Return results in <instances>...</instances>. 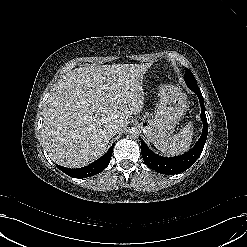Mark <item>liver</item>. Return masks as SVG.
I'll list each match as a JSON object with an SVG mask.
<instances>
[{"mask_svg": "<svg viewBox=\"0 0 247 247\" xmlns=\"http://www.w3.org/2000/svg\"><path fill=\"white\" fill-rule=\"evenodd\" d=\"M151 63L84 66L70 71L52 89L43 110L42 138L58 165L79 168L100 158L112 138L142 111V79Z\"/></svg>", "mask_w": 247, "mask_h": 247, "instance_id": "obj_1", "label": "liver"}]
</instances>
